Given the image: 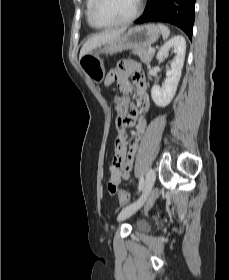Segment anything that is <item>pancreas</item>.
<instances>
[{"mask_svg": "<svg viewBox=\"0 0 229 280\" xmlns=\"http://www.w3.org/2000/svg\"><path fill=\"white\" fill-rule=\"evenodd\" d=\"M132 53L139 56L141 61L143 63H146V64L150 63L153 56H154V53H151L148 48H146V49H133Z\"/></svg>", "mask_w": 229, "mask_h": 280, "instance_id": "1", "label": "pancreas"}]
</instances>
